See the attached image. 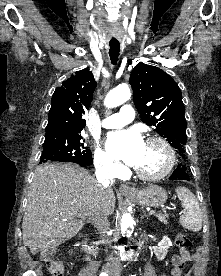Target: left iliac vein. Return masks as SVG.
<instances>
[{
    "instance_id": "obj_1",
    "label": "left iliac vein",
    "mask_w": 221,
    "mask_h": 276,
    "mask_svg": "<svg viewBox=\"0 0 221 276\" xmlns=\"http://www.w3.org/2000/svg\"><path fill=\"white\" fill-rule=\"evenodd\" d=\"M110 276H120V274L117 273V272H111V273H110Z\"/></svg>"
}]
</instances>
